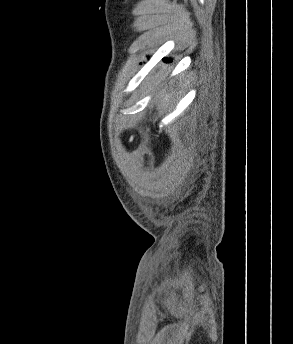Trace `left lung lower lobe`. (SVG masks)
<instances>
[{
    "label": "left lung lower lobe",
    "instance_id": "1",
    "mask_svg": "<svg viewBox=\"0 0 293 344\" xmlns=\"http://www.w3.org/2000/svg\"><path fill=\"white\" fill-rule=\"evenodd\" d=\"M165 62H171V59H164Z\"/></svg>",
    "mask_w": 293,
    "mask_h": 344
}]
</instances>
